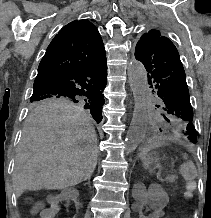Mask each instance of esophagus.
<instances>
[{
    "label": "esophagus",
    "mask_w": 211,
    "mask_h": 218,
    "mask_svg": "<svg viewBox=\"0 0 211 218\" xmlns=\"http://www.w3.org/2000/svg\"><path fill=\"white\" fill-rule=\"evenodd\" d=\"M127 96H128V98H127V100H126L127 103H132V101H133L132 98H133V96H134L133 93H128ZM126 107H127V109H132L133 106H132V104H127ZM127 115L130 117L132 114L129 112Z\"/></svg>",
    "instance_id": "esophagus-1"
}]
</instances>
